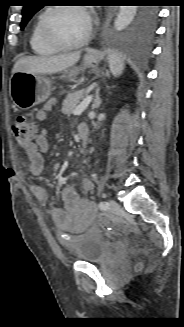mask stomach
Returning <instances> with one entry per match:
<instances>
[{
    "mask_svg": "<svg viewBox=\"0 0 184 327\" xmlns=\"http://www.w3.org/2000/svg\"><path fill=\"white\" fill-rule=\"evenodd\" d=\"M101 60L98 53L88 52L81 67H74L66 72L71 78L88 67L96 68ZM51 94V82L44 75L17 71L10 79V95L16 107L27 110L45 102Z\"/></svg>",
    "mask_w": 184,
    "mask_h": 327,
    "instance_id": "stomach-1",
    "label": "stomach"
}]
</instances>
